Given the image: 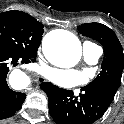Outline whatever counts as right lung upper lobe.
Wrapping results in <instances>:
<instances>
[{
	"instance_id": "right-lung-upper-lobe-1",
	"label": "right lung upper lobe",
	"mask_w": 124,
	"mask_h": 124,
	"mask_svg": "<svg viewBox=\"0 0 124 124\" xmlns=\"http://www.w3.org/2000/svg\"><path fill=\"white\" fill-rule=\"evenodd\" d=\"M19 14L22 15V16H25V17L28 16V14H26V13H24V12H19Z\"/></svg>"
}]
</instances>
